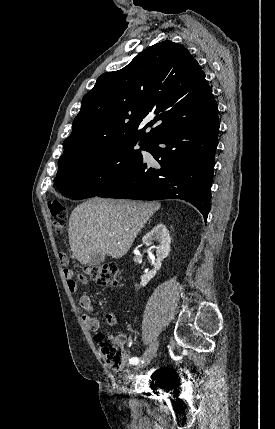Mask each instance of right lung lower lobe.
Listing matches in <instances>:
<instances>
[{"label":"right lung lower lobe","mask_w":275,"mask_h":429,"mask_svg":"<svg viewBox=\"0 0 275 429\" xmlns=\"http://www.w3.org/2000/svg\"><path fill=\"white\" fill-rule=\"evenodd\" d=\"M218 112V111H217ZM212 116L177 126L151 139L145 150L158 168L141 162L96 196L161 200L176 198L194 205L207 219L219 119Z\"/></svg>","instance_id":"right-lung-lower-lobe-1"}]
</instances>
